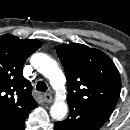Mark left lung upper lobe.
Here are the masks:
<instances>
[{"label":"left lung upper lobe","mask_w":130,"mask_h":130,"mask_svg":"<svg viewBox=\"0 0 130 130\" xmlns=\"http://www.w3.org/2000/svg\"><path fill=\"white\" fill-rule=\"evenodd\" d=\"M57 55L67 78V102L110 117L121 90L119 72L109 56L83 44H61Z\"/></svg>","instance_id":"obj_1"}]
</instances>
